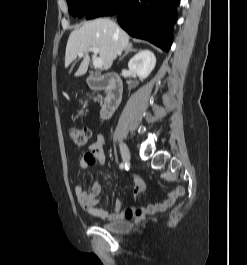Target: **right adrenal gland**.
Listing matches in <instances>:
<instances>
[{"instance_id":"2a0ac1e0","label":"right adrenal gland","mask_w":247,"mask_h":265,"mask_svg":"<svg viewBox=\"0 0 247 265\" xmlns=\"http://www.w3.org/2000/svg\"><path fill=\"white\" fill-rule=\"evenodd\" d=\"M137 50L133 48L132 44L128 45L125 49V53L120 57L119 60L123 59L130 52H136Z\"/></svg>"}]
</instances>
